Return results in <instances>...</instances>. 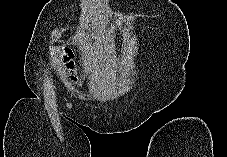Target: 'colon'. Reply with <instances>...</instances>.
Here are the masks:
<instances>
[{"label": "colon", "mask_w": 227, "mask_h": 157, "mask_svg": "<svg viewBox=\"0 0 227 157\" xmlns=\"http://www.w3.org/2000/svg\"><path fill=\"white\" fill-rule=\"evenodd\" d=\"M64 62H65L66 68H67L68 73H69V78L72 81H75V79H76V76H75V66H74V62L72 60V56H71V53L70 52H66L65 53V55H64Z\"/></svg>", "instance_id": "obj_1"}]
</instances>
